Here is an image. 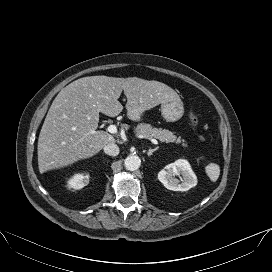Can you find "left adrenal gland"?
<instances>
[{"instance_id": "left-adrenal-gland-1", "label": "left adrenal gland", "mask_w": 272, "mask_h": 272, "mask_svg": "<svg viewBox=\"0 0 272 272\" xmlns=\"http://www.w3.org/2000/svg\"><path fill=\"white\" fill-rule=\"evenodd\" d=\"M156 150H158V147L154 148V149H149L147 152L148 156H151L153 154V152H155Z\"/></svg>"}]
</instances>
